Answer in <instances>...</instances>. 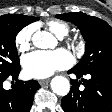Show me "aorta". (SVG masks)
<instances>
[{
    "label": "aorta",
    "instance_id": "762f6f07",
    "mask_svg": "<svg viewBox=\"0 0 112 112\" xmlns=\"http://www.w3.org/2000/svg\"><path fill=\"white\" fill-rule=\"evenodd\" d=\"M55 41V38L46 31H37L32 37L34 46L40 49L52 48ZM51 89L59 96H66L70 91V82L64 76H55L51 80Z\"/></svg>",
    "mask_w": 112,
    "mask_h": 112
}]
</instances>
